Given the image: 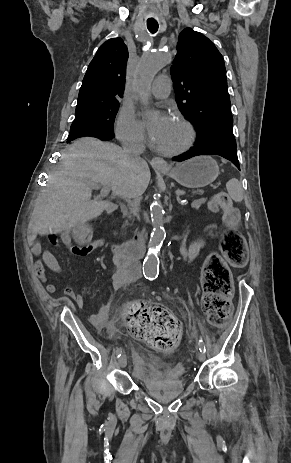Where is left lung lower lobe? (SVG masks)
<instances>
[{
    "label": "left lung lower lobe",
    "mask_w": 291,
    "mask_h": 463,
    "mask_svg": "<svg viewBox=\"0 0 291 463\" xmlns=\"http://www.w3.org/2000/svg\"><path fill=\"white\" fill-rule=\"evenodd\" d=\"M199 155L222 156L231 161L240 170L236 147L218 143L200 142L198 140H196L193 148H191L188 152L175 157L174 161H184Z\"/></svg>",
    "instance_id": "obj_1"
}]
</instances>
